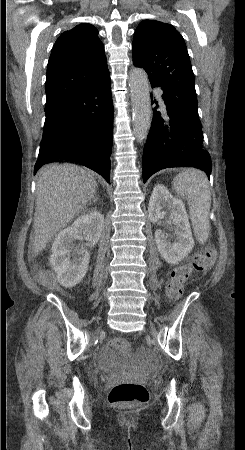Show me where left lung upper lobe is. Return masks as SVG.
Wrapping results in <instances>:
<instances>
[{
	"label": "left lung upper lobe",
	"instance_id": "obj_1",
	"mask_svg": "<svg viewBox=\"0 0 245 450\" xmlns=\"http://www.w3.org/2000/svg\"><path fill=\"white\" fill-rule=\"evenodd\" d=\"M132 48L135 66L143 68L149 79L164 85L198 112L195 79L186 44L172 25L155 20L141 21L135 30Z\"/></svg>",
	"mask_w": 245,
	"mask_h": 450
}]
</instances>
